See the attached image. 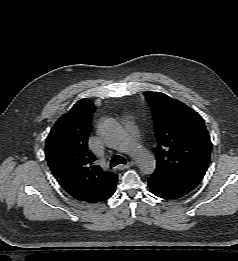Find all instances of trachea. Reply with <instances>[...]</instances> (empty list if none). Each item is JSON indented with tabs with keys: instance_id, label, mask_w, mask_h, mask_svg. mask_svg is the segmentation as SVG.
Masks as SVG:
<instances>
[{
	"instance_id": "1",
	"label": "trachea",
	"mask_w": 238,
	"mask_h": 261,
	"mask_svg": "<svg viewBox=\"0 0 238 261\" xmlns=\"http://www.w3.org/2000/svg\"><path fill=\"white\" fill-rule=\"evenodd\" d=\"M119 164H126V159L123 156L120 155H116L114 156L111 161H110V166L111 167H115Z\"/></svg>"
}]
</instances>
